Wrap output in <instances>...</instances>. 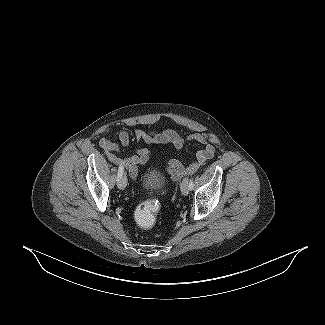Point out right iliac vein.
Returning <instances> with one entry per match:
<instances>
[{"label": "right iliac vein", "mask_w": 325, "mask_h": 325, "mask_svg": "<svg viewBox=\"0 0 325 325\" xmlns=\"http://www.w3.org/2000/svg\"><path fill=\"white\" fill-rule=\"evenodd\" d=\"M127 186V178L126 176H122L118 182V187L121 189V190H124Z\"/></svg>", "instance_id": "1"}]
</instances>
